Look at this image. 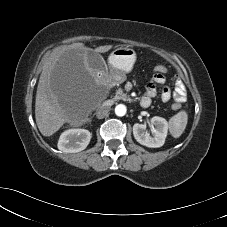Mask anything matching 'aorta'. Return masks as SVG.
<instances>
[{"mask_svg": "<svg viewBox=\"0 0 227 227\" xmlns=\"http://www.w3.org/2000/svg\"><path fill=\"white\" fill-rule=\"evenodd\" d=\"M126 111H127V108L123 104H119L115 107V114L117 116H120V117L124 116L126 114Z\"/></svg>", "mask_w": 227, "mask_h": 227, "instance_id": "obj_1", "label": "aorta"}]
</instances>
